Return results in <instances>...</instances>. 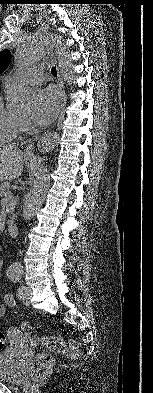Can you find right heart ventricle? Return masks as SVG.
<instances>
[{"label": "right heart ventricle", "mask_w": 153, "mask_h": 393, "mask_svg": "<svg viewBox=\"0 0 153 393\" xmlns=\"http://www.w3.org/2000/svg\"><path fill=\"white\" fill-rule=\"evenodd\" d=\"M22 131V121L5 109L0 96V144L15 140Z\"/></svg>", "instance_id": "obj_1"}]
</instances>
